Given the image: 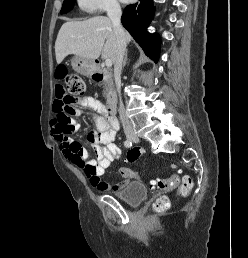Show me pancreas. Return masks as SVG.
Instances as JSON below:
<instances>
[{"label":"pancreas","instance_id":"1","mask_svg":"<svg viewBox=\"0 0 248 258\" xmlns=\"http://www.w3.org/2000/svg\"><path fill=\"white\" fill-rule=\"evenodd\" d=\"M103 85H104V95L107 96V93L112 90V84L109 80H104L103 81Z\"/></svg>","mask_w":248,"mask_h":258}]
</instances>
